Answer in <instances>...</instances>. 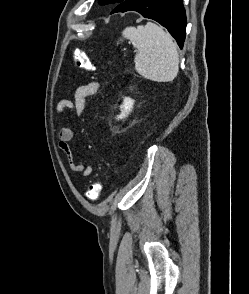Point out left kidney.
Returning a JSON list of instances; mask_svg holds the SVG:
<instances>
[{"label": "left kidney", "instance_id": "1", "mask_svg": "<svg viewBox=\"0 0 249 294\" xmlns=\"http://www.w3.org/2000/svg\"><path fill=\"white\" fill-rule=\"evenodd\" d=\"M133 105H134V100L129 97H125L122 105L120 106L121 113L117 116V119L119 120V119L126 118L129 115V113L132 111Z\"/></svg>", "mask_w": 249, "mask_h": 294}]
</instances>
